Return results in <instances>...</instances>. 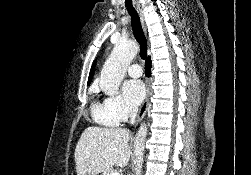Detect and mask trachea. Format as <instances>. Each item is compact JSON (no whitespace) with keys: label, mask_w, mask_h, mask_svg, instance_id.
<instances>
[{"label":"trachea","mask_w":251,"mask_h":175,"mask_svg":"<svg viewBox=\"0 0 251 175\" xmlns=\"http://www.w3.org/2000/svg\"><path fill=\"white\" fill-rule=\"evenodd\" d=\"M126 7L131 16L133 35L140 45V57L145 60L147 57V42L141 27L140 18L132 6L131 0H126Z\"/></svg>","instance_id":"3493384b"}]
</instances>
